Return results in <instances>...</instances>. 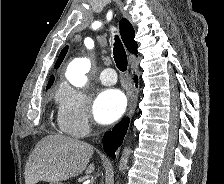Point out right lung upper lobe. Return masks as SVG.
I'll return each instance as SVG.
<instances>
[{
	"label": "right lung upper lobe",
	"instance_id": "obj_1",
	"mask_svg": "<svg viewBox=\"0 0 224 184\" xmlns=\"http://www.w3.org/2000/svg\"><path fill=\"white\" fill-rule=\"evenodd\" d=\"M119 29H120V35L121 38L126 46V48L128 49L129 52L137 55V42L134 40L135 37V32L134 29L131 25V23L123 18L120 20L119 22ZM68 47L66 46L60 53L54 68L57 69L60 64L62 63L66 53H67ZM54 82V76L52 75L49 79L47 88H49Z\"/></svg>",
	"mask_w": 224,
	"mask_h": 184
}]
</instances>
